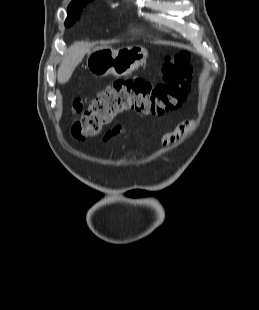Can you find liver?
<instances>
[{
    "label": "liver",
    "instance_id": "liver-1",
    "mask_svg": "<svg viewBox=\"0 0 259 310\" xmlns=\"http://www.w3.org/2000/svg\"><path fill=\"white\" fill-rule=\"evenodd\" d=\"M90 45L84 42L73 44L68 55L62 60L58 72L57 80L59 83L64 84L69 81L75 68L81 63L86 53H90Z\"/></svg>",
    "mask_w": 259,
    "mask_h": 310
}]
</instances>
